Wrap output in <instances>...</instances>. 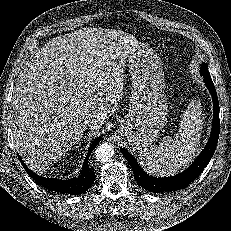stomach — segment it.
Wrapping results in <instances>:
<instances>
[{
    "mask_svg": "<svg viewBox=\"0 0 231 231\" xmlns=\"http://www.w3.org/2000/svg\"><path fill=\"white\" fill-rule=\"evenodd\" d=\"M130 105L118 132L134 150L147 148L165 126L168 117L164 71L158 54L148 46L128 56Z\"/></svg>",
    "mask_w": 231,
    "mask_h": 231,
    "instance_id": "0dacf381",
    "label": "stomach"
}]
</instances>
